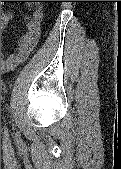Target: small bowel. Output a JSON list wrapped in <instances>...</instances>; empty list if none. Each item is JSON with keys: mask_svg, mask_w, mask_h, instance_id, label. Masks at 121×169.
Wrapping results in <instances>:
<instances>
[{"mask_svg": "<svg viewBox=\"0 0 121 169\" xmlns=\"http://www.w3.org/2000/svg\"><path fill=\"white\" fill-rule=\"evenodd\" d=\"M12 18V12L3 13L1 17V28H6ZM41 18V12L36 10L32 17H25L22 19L25 25V31L20 37L17 46L10 54H1V71L7 72L13 70L29 57L39 41Z\"/></svg>", "mask_w": 121, "mask_h": 169, "instance_id": "obj_1", "label": "small bowel"}]
</instances>
